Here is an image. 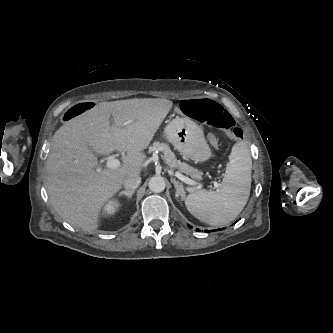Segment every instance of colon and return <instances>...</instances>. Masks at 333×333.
<instances>
[{
  "label": "colon",
  "instance_id": "1",
  "mask_svg": "<svg viewBox=\"0 0 333 333\" xmlns=\"http://www.w3.org/2000/svg\"><path fill=\"white\" fill-rule=\"evenodd\" d=\"M94 102H84L77 104L64 114V120L70 121L86 109H94ZM182 110L188 116L215 128L226 130V134L234 140L243 141L246 133L240 125L234 121L233 117L225 111L218 103L210 99H190L182 102Z\"/></svg>",
  "mask_w": 333,
  "mask_h": 333
}]
</instances>
